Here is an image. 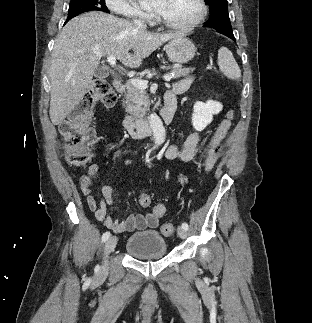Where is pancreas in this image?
I'll return each mask as SVG.
<instances>
[{
	"label": "pancreas",
	"mask_w": 312,
	"mask_h": 323,
	"mask_svg": "<svg viewBox=\"0 0 312 323\" xmlns=\"http://www.w3.org/2000/svg\"><path fill=\"white\" fill-rule=\"evenodd\" d=\"M194 70L195 68H173L169 76H171V78H183V76L192 74ZM138 80H141V78H138ZM125 88L127 90L125 102L123 104L125 112L130 114V118L135 120V122H143L149 104V96H147L145 90H139V88L133 86L131 82H127Z\"/></svg>",
	"instance_id": "cf45deb5"
}]
</instances>
